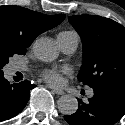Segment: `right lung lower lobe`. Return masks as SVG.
<instances>
[{"label":"right lung lower lobe","instance_id":"98d812e1","mask_svg":"<svg viewBox=\"0 0 125 125\" xmlns=\"http://www.w3.org/2000/svg\"><path fill=\"white\" fill-rule=\"evenodd\" d=\"M34 87L36 85L28 80L11 84L0 75V122L16 116L24 109L30 90Z\"/></svg>","mask_w":125,"mask_h":125}]
</instances>
